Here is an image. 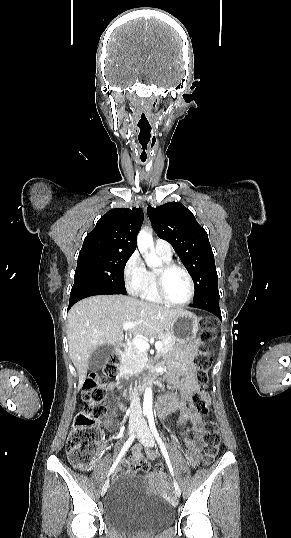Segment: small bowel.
Listing matches in <instances>:
<instances>
[{
  "instance_id": "c3829d8e",
  "label": "small bowel",
  "mask_w": 291,
  "mask_h": 538,
  "mask_svg": "<svg viewBox=\"0 0 291 538\" xmlns=\"http://www.w3.org/2000/svg\"><path fill=\"white\" fill-rule=\"evenodd\" d=\"M196 347L191 346L185 349L179 356L170 362L168 373L169 382L178 390V394L167 393L158 398L157 410L160 416L165 417L178 410L181 411L177 423L179 426L190 424L184 434L191 432L192 438H184L186 457L191 467H196L201 461V448L204 443L205 423L200 414L186 408L187 400L198 390L199 386L194 377V368L192 357ZM118 382L112 381L107 385V391L112 394L117 388ZM107 404L110 408V416L107 418L105 425L113 427L115 419L119 417V412L126 410L125 404L119 397L109 396ZM149 459H153L156 453L148 450ZM142 458L141 448L135 445L132 448V460L138 462Z\"/></svg>"
}]
</instances>
